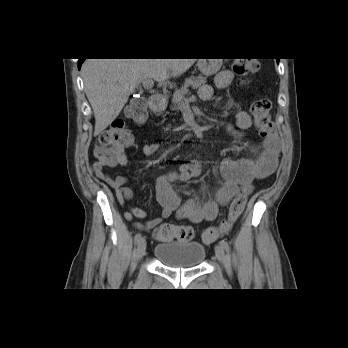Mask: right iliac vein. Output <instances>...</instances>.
Here are the masks:
<instances>
[{
    "label": "right iliac vein",
    "mask_w": 348,
    "mask_h": 348,
    "mask_svg": "<svg viewBox=\"0 0 348 348\" xmlns=\"http://www.w3.org/2000/svg\"><path fill=\"white\" fill-rule=\"evenodd\" d=\"M146 240L145 238H141L140 241L138 242L137 246V257L142 258L146 252Z\"/></svg>",
    "instance_id": "63e3f726"
}]
</instances>
